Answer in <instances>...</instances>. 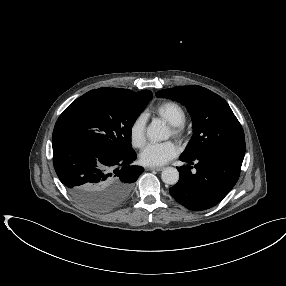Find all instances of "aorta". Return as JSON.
I'll use <instances>...</instances> for the list:
<instances>
[{"mask_svg":"<svg viewBox=\"0 0 286 286\" xmlns=\"http://www.w3.org/2000/svg\"><path fill=\"white\" fill-rule=\"evenodd\" d=\"M147 136L152 141H163L169 138L167 127L162 122H153L147 128ZM165 184L174 185L179 180V172L174 167H167L161 173Z\"/></svg>","mask_w":286,"mask_h":286,"instance_id":"762f6f07","label":"aorta"}]
</instances>
